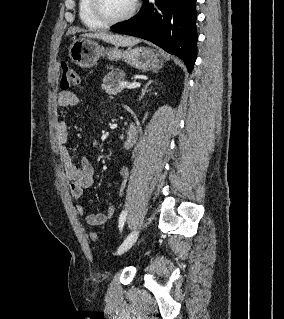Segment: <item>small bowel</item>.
<instances>
[{"mask_svg":"<svg viewBox=\"0 0 284 319\" xmlns=\"http://www.w3.org/2000/svg\"><path fill=\"white\" fill-rule=\"evenodd\" d=\"M79 97L74 92H62L57 99V106L62 109H66L75 106L79 103ZM135 126V125H133ZM136 127V126H135ZM56 138L60 146H62V159L64 163V169L67 178L70 181V191L73 198L76 200L77 213L85 218V221L90 226H100L111 219L115 214V207L113 205L108 206L105 212L100 213H88L81 203L84 190L89 188L95 177V169L91 161L87 157H82L80 160V166H77L65 146L68 142V127L63 120H59L55 127ZM122 182L119 187V194L122 195L126 188V182L129 175L127 167H122L120 170Z\"/></svg>","mask_w":284,"mask_h":319,"instance_id":"obj_1","label":"small bowel"}]
</instances>
